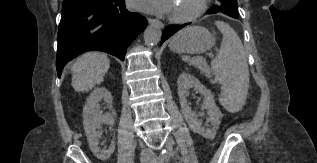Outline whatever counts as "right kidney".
Returning <instances> with one entry per match:
<instances>
[{
	"instance_id": "right-kidney-1",
	"label": "right kidney",
	"mask_w": 317,
	"mask_h": 163,
	"mask_svg": "<svg viewBox=\"0 0 317 163\" xmlns=\"http://www.w3.org/2000/svg\"><path fill=\"white\" fill-rule=\"evenodd\" d=\"M104 100L106 103H112L111 93L104 87L95 88L87 98L86 105L83 108V118H84V130L86 137L89 142V147L92 153L98 159L104 161L107 160L115 150L114 141L108 149L99 148V134L97 132V127L105 123L109 126L114 125V119L110 113L102 114L99 111V102Z\"/></svg>"
}]
</instances>
